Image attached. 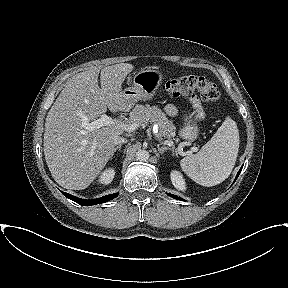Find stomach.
<instances>
[{
  "label": "stomach",
  "mask_w": 288,
  "mask_h": 288,
  "mask_svg": "<svg viewBox=\"0 0 288 288\" xmlns=\"http://www.w3.org/2000/svg\"><path fill=\"white\" fill-rule=\"evenodd\" d=\"M162 73L154 68H143L136 71L132 77V86L122 91L126 109H130L136 102L152 99L162 81ZM199 129L195 121L185 118V124L180 129V136L187 141H194L198 137Z\"/></svg>",
  "instance_id": "1"
}]
</instances>
